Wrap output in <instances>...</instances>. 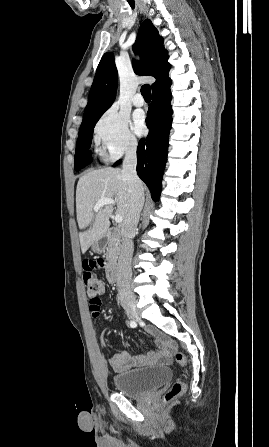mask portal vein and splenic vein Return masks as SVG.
Instances as JSON below:
<instances>
[{"mask_svg": "<svg viewBox=\"0 0 269 447\" xmlns=\"http://www.w3.org/2000/svg\"><path fill=\"white\" fill-rule=\"evenodd\" d=\"M106 204H113V206H115L116 202L115 200H111V198H102V200H99L96 206H94L93 208L94 212H98V210H100L102 206H106ZM122 220H123L122 216H120V214H116L115 222H117V224H121Z\"/></svg>", "mask_w": 269, "mask_h": 447, "instance_id": "18ae733b", "label": "portal vein and splenic vein"}]
</instances>
